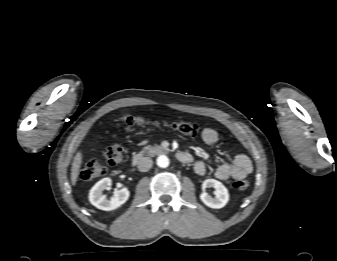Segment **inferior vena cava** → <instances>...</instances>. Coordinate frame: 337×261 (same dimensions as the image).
Returning a JSON list of instances; mask_svg holds the SVG:
<instances>
[{
  "instance_id": "inferior-vena-cava-1",
  "label": "inferior vena cava",
  "mask_w": 337,
  "mask_h": 261,
  "mask_svg": "<svg viewBox=\"0 0 337 261\" xmlns=\"http://www.w3.org/2000/svg\"><path fill=\"white\" fill-rule=\"evenodd\" d=\"M153 161L150 157H142L138 161V170L141 172H147L151 169Z\"/></svg>"
}]
</instances>
